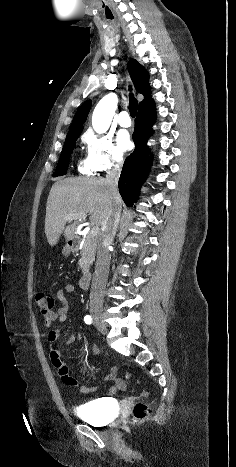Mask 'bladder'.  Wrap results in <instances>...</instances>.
Listing matches in <instances>:
<instances>
[{
	"label": "bladder",
	"mask_w": 236,
	"mask_h": 467,
	"mask_svg": "<svg viewBox=\"0 0 236 467\" xmlns=\"http://www.w3.org/2000/svg\"><path fill=\"white\" fill-rule=\"evenodd\" d=\"M112 399L98 398L90 400L76 409L77 414L88 423L103 426L108 423V416L113 412Z\"/></svg>",
	"instance_id": "31cf9c89"
}]
</instances>
